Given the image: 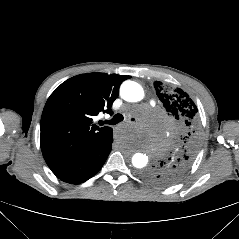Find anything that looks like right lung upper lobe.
I'll use <instances>...</instances> for the list:
<instances>
[{
  "label": "right lung upper lobe",
  "instance_id": "right-lung-upper-lobe-1",
  "mask_svg": "<svg viewBox=\"0 0 239 239\" xmlns=\"http://www.w3.org/2000/svg\"><path fill=\"white\" fill-rule=\"evenodd\" d=\"M131 76L90 73L62 83L48 98L41 117L40 143L49 168L86 151L110 127H98L92 117L112 114L121 83Z\"/></svg>",
  "mask_w": 239,
  "mask_h": 239
}]
</instances>
